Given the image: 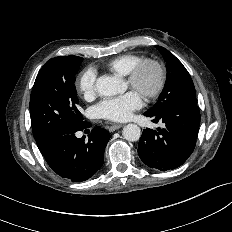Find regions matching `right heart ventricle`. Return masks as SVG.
Instances as JSON below:
<instances>
[{
	"label": "right heart ventricle",
	"mask_w": 232,
	"mask_h": 232,
	"mask_svg": "<svg viewBox=\"0 0 232 232\" xmlns=\"http://www.w3.org/2000/svg\"><path fill=\"white\" fill-rule=\"evenodd\" d=\"M143 60V56L137 54H123L106 63L107 69L121 76H127L131 69Z\"/></svg>",
	"instance_id": "obj_1"
}]
</instances>
